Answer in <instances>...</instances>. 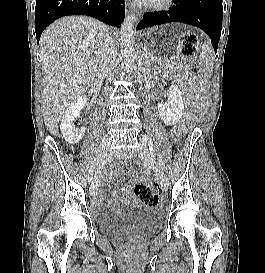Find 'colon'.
Here are the masks:
<instances>
[{"mask_svg": "<svg viewBox=\"0 0 265 273\" xmlns=\"http://www.w3.org/2000/svg\"><path fill=\"white\" fill-rule=\"evenodd\" d=\"M198 38L194 34L185 36L183 40L182 53L185 58L189 59L197 53ZM193 71L198 73L197 67ZM131 176L137 177L138 173L135 170L130 171ZM135 195L138 200L146 205H155L159 200V192L150 183H139L135 187Z\"/></svg>", "mask_w": 265, "mask_h": 273, "instance_id": "5ec220e1", "label": "colon"}]
</instances>
